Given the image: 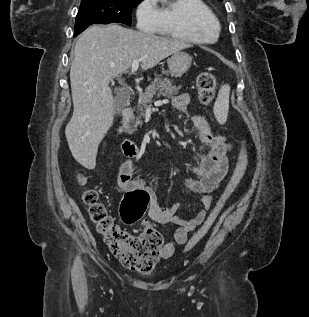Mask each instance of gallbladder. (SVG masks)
Wrapping results in <instances>:
<instances>
[{"mask_svg":"<svg viewBox=\"0 0 309 317\" xmlns=\"http://www.w3.org/2000/svg\"><path fill=\"white\" fill-rule=\"evenodd\" d=\"M116 92L114 108L116 112H120L129 102V96L126 93H122L118 90Z\"/></svg>","mask_w":309,"mask_h":317,"instance_id":"1","label":"gallbladder"}]
</instances>
